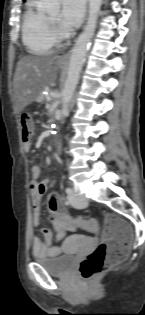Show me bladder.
<instances>
[{
    "mask_svg": "<svg viewBox=\"0 0 145 315\" xmlns=\"http://www.w3.org/2000/svg\"><path fill=\"white\" fill-rule=\"evenodd\" d=\"M75 249H93V248H75ZM45 269L52 275L64 276L67 275L75 266L77 257L66 256V254L55 256L51 259L36 258Z\"/></svg>",
    "mask_w": 145,
    "mask_h": 315,
    "instance_id": "1",
    "label": "bladder"
}]
</instances>
